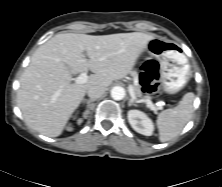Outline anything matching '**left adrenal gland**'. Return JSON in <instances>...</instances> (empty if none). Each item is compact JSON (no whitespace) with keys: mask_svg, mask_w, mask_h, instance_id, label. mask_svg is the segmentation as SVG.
<instances>
[{"mask_svg":"<svg viewBox=\"0 0 222 187\" xmlns=\"http://www.w3.org/2000/svg\"><path fill=\"white\" fill-rule=\"evenodd\" d=\"M128 106H136V104H134V103L132 102V100L129 99Z\"/></svg>","mask_w":222,"mask_h":187,"instance_id":"a2214340","label":"left adrenal gland"}]
</instances>
